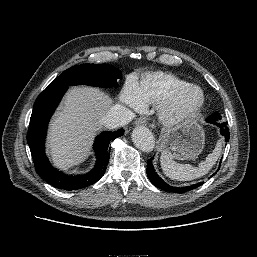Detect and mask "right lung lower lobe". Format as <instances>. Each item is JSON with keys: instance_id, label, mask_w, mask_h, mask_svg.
<instances>
[{"instance_id": "98d812e1", "label": "right lung lower lobe", "mask_w": 257, "mask_h": 257, "mask_svg": "<svg viewBox=\"0 0 257 257\" xmlns=\"http://www.w3.org/2000/svg\"><path fill=\"white\" fill-rule=\"evenodd\" d=\"M68 87L44 90L36 99L27 134L36 172L49 184L59 189L77 190L97 182L105 173L109 158V143L123 135L124 130L103 132L96 137L94 150L97 156L95 167L84 175L68 176L51 166L46 157L44 142L51 115Z\"/></svg>"}]
</instances>
